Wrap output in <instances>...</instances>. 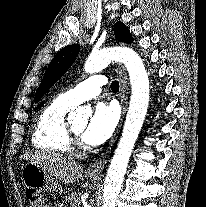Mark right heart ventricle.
<instances>
[{"instance_id":"1","label":"right heart ventricle","mask_w":206,"mask_h":207,"mask_svg":"<svg viewBox=\"0 0 206 207\" xmlns=\"http://www.w3.org/2000/svg\"><path fill=\"white\" fill-rule=\"evenodd\" d=\"M74 107L62 95L46 104L34 123L31 138L33 147L56 153H70L74 145L68 134L66 116Z\"/></svg>"}]
</instances>
